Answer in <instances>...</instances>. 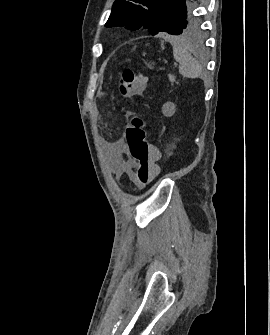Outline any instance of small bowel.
<instances>
[{
    "label": "small bowel",
    "mask_w": 270,
    "mask_h": 335,
    "mask_svg": "<svg viewBox=\"0 0 270 335\" xmlns=\"http://www.w3.org/2000/svg\"><path fill=\"white\" fill-rule=\"evenodd\" d=\"M107 148L113 159L114 172L117 178H120L124 174H127L130 177L134 162L132 159L125 158L127 147L124 140L117 139L109 142Z\"/></svg>",
    "instance_id": "c3829d8e"
}]
</instances>
